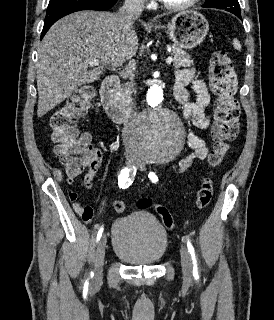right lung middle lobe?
I'll use <instances>...</instances> for the list:
<instances>
[{"label":"right lung middle lobe","instance_id":"right-lung-middle-lobe-1","mask_svg":"<svg viewBox=\"0 0 274 320\" xmlns=\"http://www.w3.org/2000/svg\"><path fill=\"white\" fill-rule=\"evenodd\" d=\"M64 1H66V0H50L48 7L56 5V4H59V3H62Z\"/></svg>","mask_w":274,"mask_h":320}]
</instances>
